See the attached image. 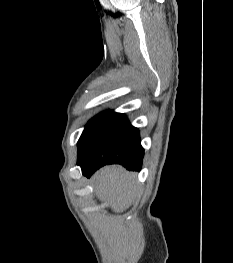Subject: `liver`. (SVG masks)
Wrapping results in <instances>:
<instances>
[{"label":"liver","instance_id":"1","mask_svg":"<svg viewBox=\"0 0 233 263\" xmlns=\"http://www.w3.org/2000/svg\"><path fill=\"white\" fill-rule=\"evenodd\" d=\"M138 190L136 175L118 165L106 166L95 176L94 192L117 213L129 208Z\"/></svg>","mask_w":233,"mask_h":263}]
</instances>
